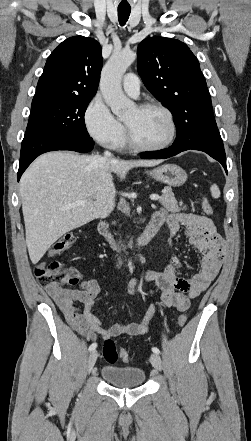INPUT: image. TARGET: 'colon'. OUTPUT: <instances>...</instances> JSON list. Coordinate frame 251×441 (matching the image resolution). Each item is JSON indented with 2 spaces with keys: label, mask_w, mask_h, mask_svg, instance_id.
<instances>
[{
  "label": "colon",
  "mask_w": 251,
  "mask_h": 441,
  "mask_svg": "<svg viewBox=\"0 0 251 441\" xmlns=\"http://www.w3.org/2000/svg\"><path fill=\"white\" fill-rule=\"evenodd\" d=\"M201 207L205 214H213V207L208 199H202ZM74 242V234L66 233L51 246L49 253L51 255L60 254L71 247ZM35 276L38 284L42 287H61L62 285H73L79 282V274L77 270L63 267L57 261H52L48 264H41L37 266L35 269ZM186 322L187 316L185 314L179 315L177 325L179 327H183ZM102 353L104 359L111 364L115 363L118 358L124 362H129L131 360L129 353L125 350H119L115 342L110 338H107L104 341Z\"/></svg>",
  "instance_id": "obj_1"
}]
</instances>
